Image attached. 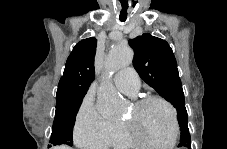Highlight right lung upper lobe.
Segmentation results:
<instances>
[{
    "mask_svg": "<svg viewBox=\"0 0 227 149\" xmlns=\"http://www.w3.org/2000/svg\"><path fill=\"white\" fill-rule=\"evenodd\" d=\"M96 46L97 40L93 37L81 40L74 46L58 84L57 102L81 99L85 96L95 77Z\"/></svg>",
    "mask_w": 227,
    "mask_h": 149,
    "instance_id": "cb5924a9",
    "label": "right lung upper lobe"
}]
</instances>
